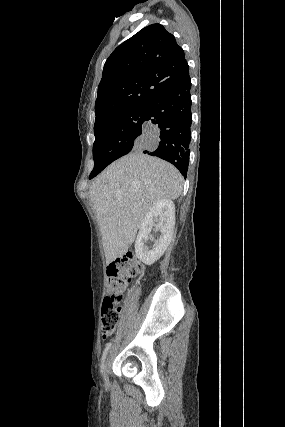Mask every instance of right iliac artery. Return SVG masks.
<instances>
[{"label":"right iliac artery","instance_id":"82829eb1","mask_svg":"<svg viewBox=\"0 0 285 427\" xmlns=\"http://www.w3.org/2000/svg\"><path fill=\"white\" fill-rule=\"evenodd\" d=\"M110 347H111V343H107V345L103 351V355H102V359H101V372H102V374H103L105 359H106V356H107V353H108Z\"/></svg>","mask_w":285,"mask_h":427}]
</instances>
